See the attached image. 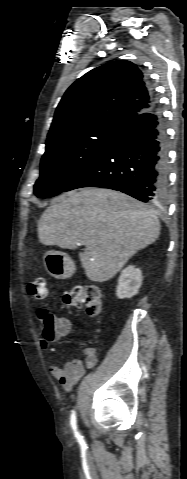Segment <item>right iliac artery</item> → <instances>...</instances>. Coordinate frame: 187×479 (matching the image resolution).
Segmentation results:
<instances>
[{"label": "right iliac artery", "mask_w": 187, "mask_h": 479, "mask_svg": "<svg viewBox=\"0 0 187 479\" xmlns=\"http://www.w3.org/2000/svg\"><path fill=\"white\" fill-rule=\"evenodd\" d=\"M70 424H71V427H72V429H73L75 435H78L77 425H76V414H75V411L72 412Z\"/></svg>", "instance_id": "1"}]
</instances>
